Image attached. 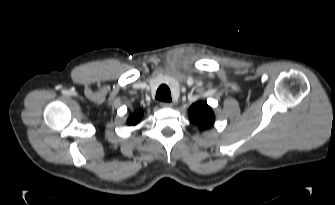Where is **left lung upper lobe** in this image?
<instances>
[{
    "label": "left lung upper lobe",
    "mask_w": 335,
    "mask_h": 205,
    "mask_svg": "<svg viewBox=\"0 0 335 205\" xmlns=\"http://www.w3.org/2000/svg\"><path fill=\"white\" fill-rule=\"evenodd\" d=\"M191 121L196 124L201 130L209 128L214 120V113L206 103H194L188 110Z\"/></svg>",
    "instance_id": "obj_1"
}]
</instances>
